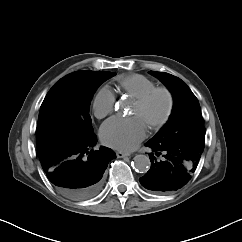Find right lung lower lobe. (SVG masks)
<instances>
[{
    "instance_id": "obj_1",
    "label": "right lung lower lobe",
    "mask_w": 242,
    "mask_h": 242,
    "mask_svg": "<svg viewBox=\"0 0 242 242\" xmlns=\"http://www.w3.org/2000/svg\"><path fill=\"white\" fill-rule=\"evenodd\" d=\"M96 135L76 140L54 137L37 145L42 168L57 189L73 199L95 196L102 185V176L115 153L101 147L95 151Z\"/></svg>"
}]
</instances>
